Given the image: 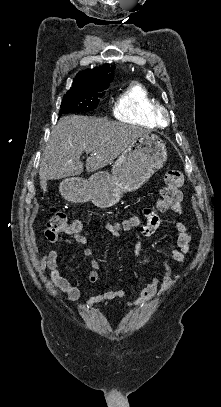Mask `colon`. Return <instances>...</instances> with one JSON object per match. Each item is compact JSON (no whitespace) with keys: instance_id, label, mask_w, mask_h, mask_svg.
<instances>
[{"instance_id":"5ec220e1","label":"colon","mask_w":221,"mask_h":407,"mask_svg":"<svg viewBox=\"0 0 221 407\" xmlns=\"http://www.w3.org/2000/svg\"><path fill=\"white\" fill-rule=\"evenodd\" d=\"M184 184L183 174L176 169H170L164 174V186L160 189V195L153 208L149 211L154 215L164 212L177 205L182 199L181 188ZM138 223L136 218L122 223L124 228H130ZM81 230L78 221L69 222L66 213L56 211L47 221L44 229V237L47 240H54L63 233L75 234Z\"/></svg>"}]
</instances>
